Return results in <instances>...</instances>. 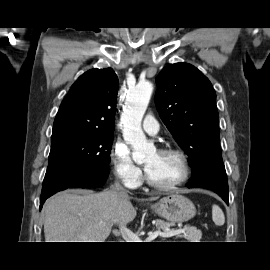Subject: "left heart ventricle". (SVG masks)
<instances>
[{"instance_id": "obj_1", "label": "left heart ventricle", "mask_w": 270, "mask_h": 270, "mask_svg": "<svg viewBox=\"0 0 270 270\" xmlns=\"http://www.w3.org/2000/svg\"><path fill=\"white\" fill-rule=\"evenodd\" d=\"M144 166L152 181L169 184L180 178L182 167L175 155L152 152L144 160Z\"/></svg>"}]
</instances>
